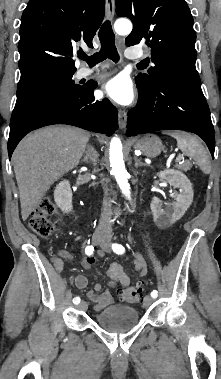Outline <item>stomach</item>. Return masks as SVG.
Masks as SVG:
<instances>
[{
    "label": "stomach",
    "instance_id": "obj_1",
    "mask_svg": "<svg viewBox=\"0 0 221 379\" xmlns=\"http://www.w3.org/2000/svg\"><path fill=\"white\" fill-rule=\"evenodd\" d=\"M135 148L147 157H155L163 150L161 140L155 135H146L136 142Z\"/></svg>",
    "mask_w": 221,
    "mask_h": 379
}]
</instances>
